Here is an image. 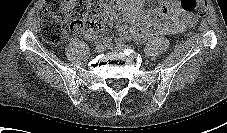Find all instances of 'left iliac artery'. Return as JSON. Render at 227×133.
Segmentation results:
<instances>
[{
	"instance_id": "44dca946",
	"label": "left iliac artery",
	"mask_w": 227,
	"mask_h": 133,
	"mask_svg": "<svg viewBox=\"0 0 227 133\" xmlns=\"http://www.w3.org/2000/svg\"><path fill=\"white\" fill-rule=\"evenodd\" d=\"M116 44H123L126 42V39H124L123 37H119L116 39Z\"/></svg>"
}]
</instances>
